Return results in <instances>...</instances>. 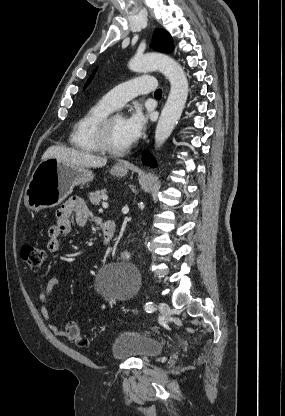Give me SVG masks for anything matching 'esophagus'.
<instances>
[{"instance_id": "esophagus-1", "label": "esophagus", "mask_w": 285, "mask_h": 416, "mask_svg": "<svg viewBox=\"0 0 285 416\" xmlns=\"http://www.w3.org/2000/svg\"><path fill=\"white\" fill-rule=\"evenodd\" d=\"M166 96H167V89H166V91H165V98H166Z\"/></svg>"}]
</instances>
